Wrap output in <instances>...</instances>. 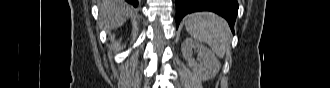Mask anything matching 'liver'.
I'll use <instances>...</instances> for the list:
<instances>
[{
	"label": "liver",
	"mask_w": 330,
	"mask_h": 88,
	"mask_svg": "<svg viewBox=\"0 0 330 88\" xmlns=\"http://www.w3.org/2000/svg\"><path fill=\"white\" fill-rule=\"evenodd\" d=\"M132 14V7L123 0H102L100 17L107 30L122 26Z\"/></svg>",
	"instance_id": "1"
}]
</instances>
